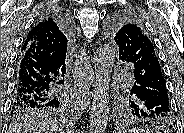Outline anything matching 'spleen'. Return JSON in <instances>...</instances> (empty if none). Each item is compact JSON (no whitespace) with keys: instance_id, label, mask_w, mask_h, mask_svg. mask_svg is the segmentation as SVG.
Listing matches in <instances>:
<instances>
[{"instance_id":"spleen-1","label":"spleen","mask_w":184,"mask_h":133,"mask_svg":"<svg viewBox=\"0 0 184 133\" xmlns=\"http://www.w3.org/2000/svg\"><path fill=\"white\" fill-rule=\"evenodd\" d=\"M144 130L143 129H133L132 131H131V133L133 132V133H142Z\"/></svg>"}]
</instances>
